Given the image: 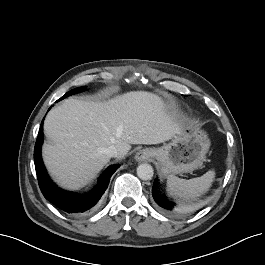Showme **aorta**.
<instances>
[{"instance_id": "aorta-1", "label": "aorta", "mask_w": 265, "mask_h": 265, "mask_svg": "<svg viewBox=\"0 0 265 265\" xmlns=\"http://www.w3.org/2000/svg\"><path fill=\"white\" fill-rule=\"evenodd\" d=\"M154 174L153 167L150 164H140L137 168V175L141 180H151Z\"/></svg>"}]
</instances>
